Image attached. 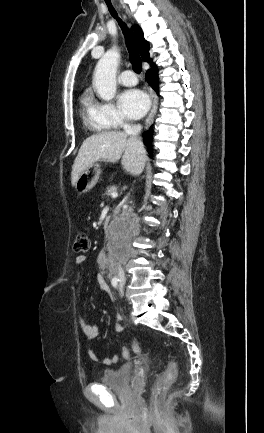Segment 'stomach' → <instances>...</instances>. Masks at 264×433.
Masks as SVG:
<instances>
[{"label": "stomach", "mask_w": 264, "mask_h": 433, "mask_svg": "<svg viewBox=\"0 0 264 433\" xmlns=\"http://www.w3.org/2000/svg\"><path fill=\"white\" fill-rule=\"evenodd\" d=\"M100 174V165L98 163H93L79 176L75 184L76 190L80 194L90 191L96 185Z\"/></svg>", "instance_id": "0dacf381"}]
</instances>
